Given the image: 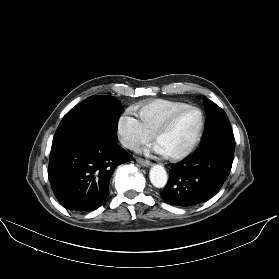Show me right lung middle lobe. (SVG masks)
<instances>
[{
  "mask_svg": "<svg viewBox=\"0 0 279 279\" xmlns=\"http://www.w3.org/2000/svg\"><path fill=\"white\" fill-rule=\"evenodd\" d=\"M122 112L121 102L114 97L90 96L63 117L55 132L52 146L70 144L104 130L117 132V122Z\"/></svg>",
  "mask_w": 279,
  "mask_h": 279,
  "instance_id": "dd1d6c3e",
  "label": "right lung middle lobe"
}]
</instances>
